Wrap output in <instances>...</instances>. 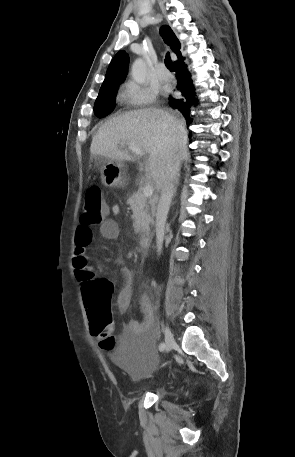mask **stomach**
I'll list each match as a JSON object with an SVG mask.
<instances>
[{"instance_id": "stomach-1", "label": "stomach", "mask_w": 295, "mask_h": 457, "mask_svg": "<svg viewBox=\"0 0 295 457\" xmlns=\"http://www.w3.org/2000/svg\"><path fill=\"white\" fill-rule=\"evenodd\" d=\"M103 184L110 188L124 187L126 182L125 165L122 161L104 159L101 165Z\"/></svg>"}]
</instances>
